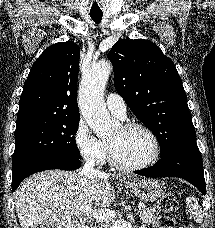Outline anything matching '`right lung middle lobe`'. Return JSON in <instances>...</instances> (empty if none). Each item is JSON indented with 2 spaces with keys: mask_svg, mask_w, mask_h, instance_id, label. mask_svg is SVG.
I'll use <instances>...</instances> for the list:
<instances>
[{
  "mask_svg": "<svg viewBox=\"0 0 215 228\" xmlns=\"http://www.w3.org/2000/svg\"><path fill=\"white\" fill-rule=\"evenodd\" d=\"M79 119L36 120L16 125L12 165L44 155L80 159L75 141Z\"/></svg>",
  "mask_w": 215,
  "mask_h": 228,
  "instance_id": "dd1d6c3e",
  "label": "right lung middle lobe"
}]
</instances>
